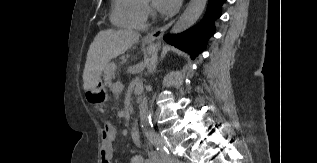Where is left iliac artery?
<instances>
[{"instance_id": "1", "label": "left iliac artery", "mask_w": 317, "mask_h": 163, "mask_svg": "<svg viewBox=\"0 0 317 163\" xmlns=\"http://www.w3.org/2000/svg\"><path fill=\"white\" fill-rule=\"evenodd\" d=\"M172 162H173V163H176L177 161H176V160H174V159H172L171 163H172ZM177 163H178V162H177Z\"/></svg>"}]
</instances>
